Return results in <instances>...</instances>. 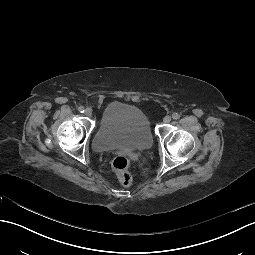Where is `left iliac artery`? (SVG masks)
Here are the masks:
<instances>
[{"mask_svg":"<svg viewBox=\"0 0 255 255\" xmlns=\"http://www.w3.org/2000/svg\"><path fill=\"white\" fill-rule=\"evenodd\" d=\"M172 118L175 119V120H177V119L180 118V115H179L178 113H173V114H172Z\"/></svg>","mask_w":255,"mask_h":255,"instance_id":"1","label":"left iliac artery"}]
</instances>
